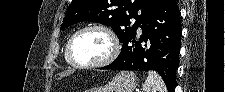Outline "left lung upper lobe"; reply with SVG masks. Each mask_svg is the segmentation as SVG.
I'll use <instances>...</instances> for the list:
<instances>
[{"label":"left lung upper lobe","mask_w":225,"mask_h":92,"mask_svg":"<svg viewBox=\"0 0 225 92\" xmlns=\"http://www.w3.org/2000/svg\"><path fill=\"white\" fill-rule=\"evenodd\" d=\"M164 1L73 0L66 11L60 30L80 21H92L111 26L119 41L124 43L133 38L136 29L142 24L147 15ZM127 11L129 15L126 14ZM131 18H135L136 21L132 27H128L131 24Z\"/></svg>","instance_id":"left-lung-upper-lobe-1"}]
</instances>
